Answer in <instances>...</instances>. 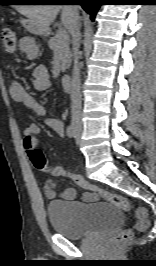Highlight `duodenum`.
Here are the masks:
<instances>
[{
  "label": "duodenum",
  "mask_w": 156,
  "mask_h": 266,
  "mask_svg": "<svg viewBox=\"0 0 156 266\" xmlns=\"http://www.w3.org/2000/svg\"><path fill=\"white\" fill-rule=\"evenodd\" d=\"M62 86L65 90L69 91L72 85V78L69 74H65L61 78Z\"/></svg>",
  "instance_id": "obj_1"
}]
</instances>
